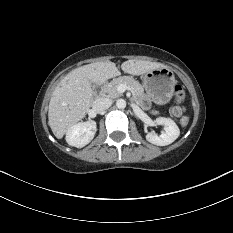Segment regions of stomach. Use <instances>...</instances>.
Here are the masks:
<instances>
[{"mask_svg": "<svg viewBox=\"0 0 233 233\" xmlns=\"http://www.w3.org/2000/svg\"><path fill=\"white\" fill-rule=\"evenodd\" d=\"M175 85L174 73L168 68L154 69L143 76V87L157 104H165L170 101Z\"/></svg>", "mask_w": 233, "mask_h": 233, "instance_id": "0dacf381", "label": "stomach"}]
</instances>
